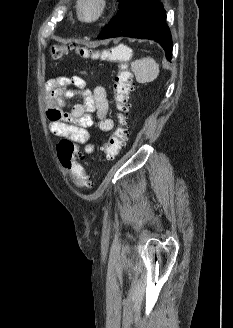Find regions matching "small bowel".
I'll return each mask as SVG.
<instances>
[{"instance_id": "obj_1", "label": "small bowel", "mask_w": 233, "mask_h": 328, "mask_svg": "<svg viewBox=\"0 0 233 328\" xmlns=\"http://www.w3.org/2000/svg\"><path fill=\"white\" fill-rule=\"evenodd\" d=\"M45 87L50 131L84 145L85 153L92 154L94 145L90 143L89 129L94 124L93 114H96L95 124L100 131L108 132L114 127L105 88L86 89V82L80 76H60L49 80ZM76 94L82 95L83 102L73 105L69 113L64 112L63 106Z\"/></svg>"}]
</instances>
